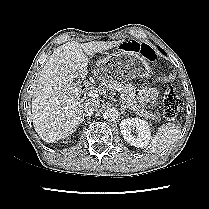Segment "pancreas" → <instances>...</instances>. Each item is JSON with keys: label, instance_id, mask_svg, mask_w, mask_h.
<instances>
[{"label": "pancreas", "instance_id": "cf45deb5", "mask_svg": "<svg viewBox=\"0 0 209 209\" xmlns=\"http://www.w3.org/2000/svg\"><path fill=\"white\" fill-rule=\"evenodd\" d=\"M105 87L109 90H116L127 95V106L130 110H133L137 115L144 118H151L153 120H159L160 116L155 113L149 112L144 109H139L135 101L136 88L132 84H127L126 82L113 81L105 83Z\"/></svg>", "mask_w": 209, "mask_h": 209}]
</instances>
